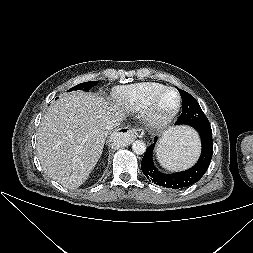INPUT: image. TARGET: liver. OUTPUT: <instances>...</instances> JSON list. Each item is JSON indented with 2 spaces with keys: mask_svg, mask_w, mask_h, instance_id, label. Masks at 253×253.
<instances>
[{
  "mask_svg": "<svg viewBox=\"0 0 253 253\" xmlns=\"http://www.w3.org/2000/svg\"><path fill=\"white\" fill-rule=\"evenodd\" d=\"M124 110L91 93H66L42 118L37 133L38 158L44 172L69 189L82 185L97 164L107 126Z\"/></svg>",
  "mask_w": 253,
  "mask_h": 253,
  "instance_id": "liver-1",
  "label": "liver"
}]
</instances>
